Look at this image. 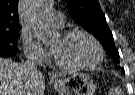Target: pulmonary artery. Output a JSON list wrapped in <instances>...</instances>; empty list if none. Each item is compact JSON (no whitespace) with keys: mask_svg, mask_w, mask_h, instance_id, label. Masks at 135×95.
Returning <instances> with one entry per match:
<instances>
[{"mask_svg":"<svg viewBox=\"0 0 135 95\" xmlns=\"http://www.w3.org/2000/svg\"><path fill=\"white\" fill-rule=\"evenodd\" d=\"M50 21L52 25L56 27H63L64 25V15L58 11H52L50 16Z\"/></svg>","mask_w":135,"mask_h":95,"instance_id":"e3ab8cb5","label":"pulmonary artery"}]
</instances>
